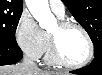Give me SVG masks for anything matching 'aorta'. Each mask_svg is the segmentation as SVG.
<instances>
[{
    "label": "aorta",
    "instance_id": "1",
    "mask_svg": "<svg viewBox=\"0 0 102 75\" xmlns=\"http://www.w3.org/2000/svg\"><path fill=\"white\" fill-rule=\"evenodd\" d=\"M26 5L42 29H48L56 23V19L50 11L48 0H26Z\"/></svg>",
    "mask_w": 102,
    "mask_h": 75
}]
</instances>
